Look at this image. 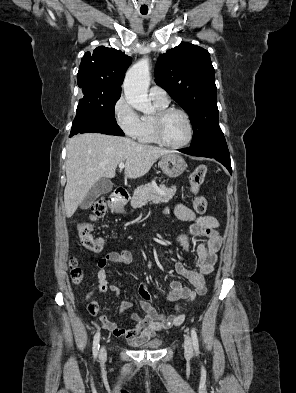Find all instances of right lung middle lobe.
Listing matches in <instances>:
<instances>
[{"label": "right lung middle lobe", "mask_w": 296, "mask_h": 393, "mask_svg": "<svg viewBox=\"0 0 296 393\" xmlns=\"http://www.w3.org/2000/svg\"><path fill=\"white\" fill-rule=\"evenodd\" d=\"M121 94L106 96L84 95L77 107L78 115H93L111 123H116L115 103Z\"/></svg>", "instance_id": "dd1d6c3e"}]
</instances>
